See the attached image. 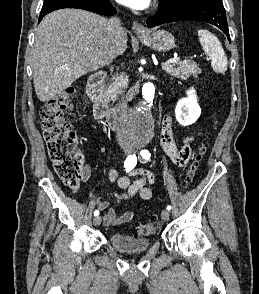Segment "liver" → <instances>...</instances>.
<instances>
[{
    "instance_id": "6515ba94",
    "label": "liver",
    "mask_w": 259,
    "mask_h": 294,
    "mask_svg": "<svg viewBox=\"0 0 259 294\" xmlns=\"http://www.w3.org/2000/svg\"><path fill=\"white\" fill-rule=\"evenodd\" d=\"M108 19L80 9H61L46 15L35 31L32 70L35 92L46 102L81 76L111 63L127 48L120 35L118 53L110 56Z\"/></svg>"
}]
</instances>
